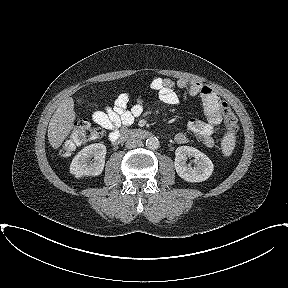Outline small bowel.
<instances>
[{
	"mask_svg": "<svg viewBox=\"0 0 288 288\" xmlns=\"http://www.w3.org/2000/svg\"><path fill=\"white\" fill-rule=\"evenodd\" d=\"M150 87L157 93L159 100L167 105L179 103L176 88L184 90L189 96L199 97L202 101L206 120L192 118L187 124V129L206 147L214 146V133L222 121V115L220 112L221 100L213 89L202 83L184 78L175 81L159 77L151 81ZM131 103L130 95L122 93L116 98L113 107L93 113V121L109 131L110 141L113 142L119 136L122 126L131 125L143 113L144 100L142 97H137ZM175 141L178 144H185L187 142L186 134L182 132L176 134Z\"/></svg>",
	"mask_w": 288,
	"mask_h": 288,
	"instance_id": "c3829d8e",
	"label": "small bowel"
}]
</instances>
